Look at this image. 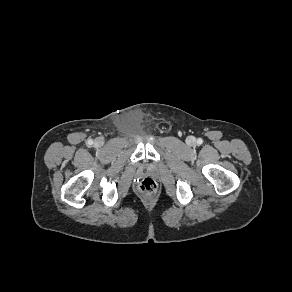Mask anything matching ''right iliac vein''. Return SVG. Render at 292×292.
Returning a JSON list of instances; mask_svg holds the SVG:
<instances>
[{"label":"right iliac vein","instance_id":"63e3f726","mask_svg":"<svg viewBox=\"0 0 292 292\" xmlns=\"http://www.w3.org/2000/svg\"><path fill=\"white\" fill-rule=\"evenodd\" d=\"M103 143H104V142H103V140H102L101 138L96 139V141H95V145L98 146V147L102 146Z\"/></svg>","mask_w":292,"mask_h":292}]
</instances>
